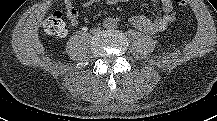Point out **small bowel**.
Returning <instances> with one entry per match:
<instances>
[{
  "label": "small bowel",
  "mask_w": 217,
  "mask_h": 121,
  "mask_svg": "<svg viewBox=\"0 0 217 121\" xmlns=\"http://www.w3.org/2000/svg\"><path fill=\"white\" fill-rule=\"evenodd\" d=\"M100 0H86L84 6L88 7ZM109 5H115L118 3L126 2L129 0H105ZM156 1V0H151ZM162 7V15L156 19H149L144 15L133 16L130 21L138 29L147 33H156L163 30L175 19V11L172 6L171 0H160ZM66 9V16L72 26H77L79 23V12L74 6V0H63Z\"/></svg>",
  "instance_id": "obj_1"
}]
</instances>
